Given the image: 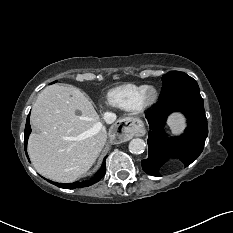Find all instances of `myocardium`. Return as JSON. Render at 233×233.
<instances>
[{
  "instance_id": "myocardium-1",
  "label": "myocardium",
  "mask_w": 233,
  "mask_h": 233,
  "mask_svg": "<svg viewBox=\"0 0 233 233\" xmlns=\"http://www.w3.org/2000/svg\"><path fill=\"white\" fill-rule=\"evenodd\" d=\"M158 98V92L153 86H146L144 91L141 94L138 108L139 110L146 109L153 105Z\"/></svg>"
}]
</instances>
